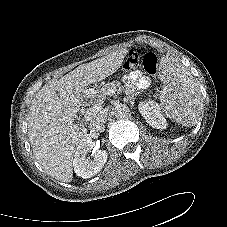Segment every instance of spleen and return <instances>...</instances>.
Returning <instances> with one entry per match:
<instances>
[{
    "label": "spleen",
    "instance_id": "1",
    "mask_svg": "<svg viewBox=\"0 0 227 227\" xmlns=\"http://www.w3.org/2000/svg\"><path fill=\"white\" fill-rule=\"evenodd\" d=\"M160 79L164 84L160 92L164 113L185 126H194L203 109V100L197 83L178 60L163 56L160 61Z\"/></svg>",
    "mask_w": 227,
    "mask_h": 227
}]
</instances>
